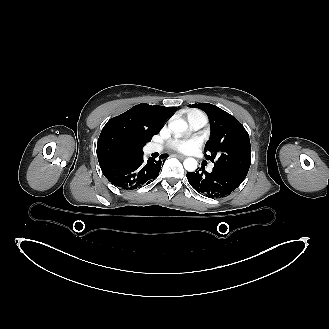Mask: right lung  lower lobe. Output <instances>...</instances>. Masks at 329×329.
<instances>
[{"mask_svg":"<svg viewBox=\"0 0 329 329\" xmlns=\"http://www.w3.org/2000/svg\"><path fill=\"white\" fill-rule=\"evenodd\" d=\"M167 154L159 160H144L143 153L127 160L101 166L104 176L115 186L133 190L151 183L159 174Z\"/></svg>","mask_w":329,"mask_h":329,"instance_id":"obj_1","label":"right lung lower lobe"}]
</instances>
